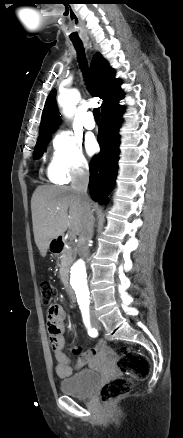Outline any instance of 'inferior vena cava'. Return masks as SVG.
Segmentation results:
<instances>
[{
  "mask_svg": "<svg viewBox=\"0 0 183 438\" xmlns=\"http://www.w3.org/2000/svg\"><path fill=\"white\" fill-rule=\"evenodd\" d=\"M89 181V170L87 165L75 169L71 188L77 193L78 197L82 200L85 213L83 229L79 235L78 254L84 259L89 256V241L93 235L94 228V216L91 211L90 199L87 194V187Z\"/></svg>",
  "mask_w": 183,
  "mask_h": 438,
  "instance_id": "obj_1",
  "label": "inferior vena cava"
}]
</instances>
